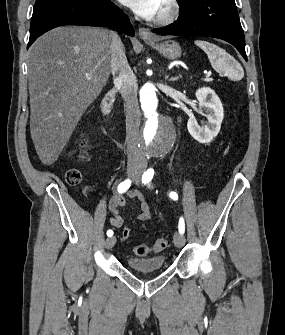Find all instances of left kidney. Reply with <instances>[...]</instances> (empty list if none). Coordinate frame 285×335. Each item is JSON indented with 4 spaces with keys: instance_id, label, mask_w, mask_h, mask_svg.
Segmentation results:
<instances>
[{
    "instance_id": "left-kidney-1",
    "label": "left kidney",
    "mask_w": 285,
    "mask_h": 335,
    "mask_svg": "<svg viewBox=\"0 0 285 335\" xmlns=\"http://www.w3.org/2000/svg\"><path fill=\"white\" fill-rule=\"evenodd\" d=\"M195 96L199 102V110H196V112L206 116L208 122H206L207 126L205 128H200L195 116H192L187 122L188 132L199 144H209L220 132L224 118L223 106L220 98L211 88H199Z\"/></svg>"
}]
</instances>
